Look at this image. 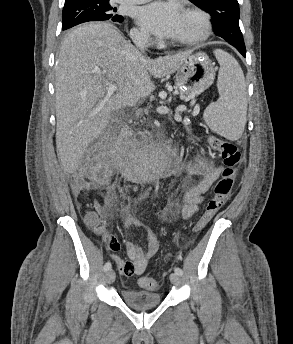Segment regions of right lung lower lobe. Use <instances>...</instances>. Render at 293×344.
Masks as SVG:
<instances>
[{"instance_id":"1","label":"right lung lower lobe","mask_w":293,"mask_h":344,"mask_svg":"<svg viewBox=\"0 0 293 344\" xmlns=\"http://www.w3.org/2000/svg\"><path fill=\"white\" fill-rule=\"evenodd\" d=\"M123 21V18L122 19H119V20H116L114 22H122Z\"/></svg>"}]
</instances>
